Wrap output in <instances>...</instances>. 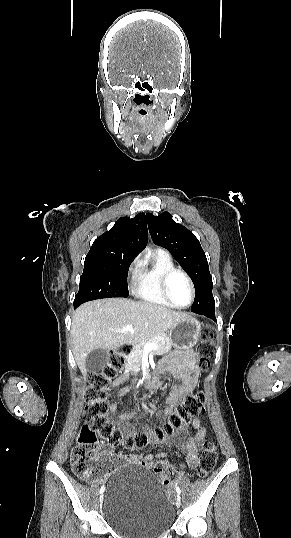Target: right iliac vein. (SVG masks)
I'll list each match as a JSON object with an SVG mask.
<instances>
[{
  "mask_svg": "<svg viewBox=\"0 0 291 538\" xmlns=\"http://www.w3.org/2000/svg\"><path fill=\"white\" fill-rule=\"evenodd\" d=\"M102 501H103V495L100 496V503H102Z\"/></svg>",
  "mask_w": 291,
  "mask_h": 538,
  "instance_id": "right-iliac-vein-1",
  "label": "right iliac vein"
}]
</instances>
